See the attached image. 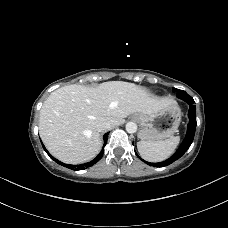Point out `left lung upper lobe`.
<instances>
[{"label": "left lung upper lobe", "instance_id": "obj_1", "mask_svg": "<svg viewBox=\"0 0 228 228\" xmlns=\"http://www.w3.org/2000/svg\"><path fill=\"white\" fill-rule=\"evenodd\" d=\"M176 89L175 88H173V91H175ZM185 95H187V93L185 92V91H183V90H178V97H182V96H185Z\"/></svg>", "mask_w": 228, "mask_h": 228}]
</instances>
